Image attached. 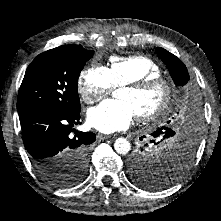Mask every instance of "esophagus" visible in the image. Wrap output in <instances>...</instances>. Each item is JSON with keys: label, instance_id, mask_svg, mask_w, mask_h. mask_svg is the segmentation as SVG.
<instances>
[{"label": "esophagus", "instance_id": "1", "mask_svg": "<svg viewBox=\"0 0 221 221\" xmlns=\"http://www.w3.org/2000/svg\"><path fill=\"white\" fill-rule=\"evenodd\" d=\"M98 138H99V139H101V140H106V139H109V138H110V136L100 134V135H98Z\"/></svg>", "mask_w": 221, "mask_h": 221}]
</instances>
